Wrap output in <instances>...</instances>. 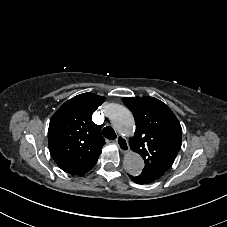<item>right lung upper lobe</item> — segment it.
Returning a JSON list of instances; mask_svg holds the SVG:
<instances>
[{
	"label": "right lung upper lobe",
	"mask_w": 227,
	"mask_h": 227,
	"mask_svg": "<svg viewBox=\"0 0 227 227\" xmlns=\"http://www.w3.org/2000/svg\"><path fill=\"white\" fill-rule=\"evenodd\" d=\"M104 101L105 97L83 93L65 102L52 116L49 150L63 171L82 175L96 164L105 139L92 114Z\"/></svg>",
	"instance_id": "right-lung-upper-lobe-1"
}]
</instances>
